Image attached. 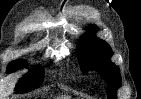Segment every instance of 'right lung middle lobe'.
Wrapping results in <instances>:
<instances>
[{
    "label": "right lung middle lobe",
    "mask_w": 141,
    "mask_h": 99,
    "mask_svg": "<svg viewBox=\"0 0 141 99\" xmlns=\"http://www.w3.org/2000/svg\"><path fill=\"white\" fill-rule=\"evenodd\" d=\"M25 66L26 64L22 61H13L8 65L7 71L13 72ZM42 82L43 72L41 68L35 66L17 83L16 91L17 93L29 92L32 88L40 86Z\"/></svg>",
    "instance_id": "dd1d6c3e"
}]
</instances>
